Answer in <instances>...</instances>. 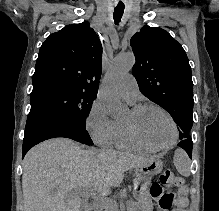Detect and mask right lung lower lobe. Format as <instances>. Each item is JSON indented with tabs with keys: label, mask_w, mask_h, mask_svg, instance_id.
<instances>
[{
	"label": "right lung lower lobe",
	"mask_w": 219,
	"mask_h": 211,
	"mask_svg": "<svg viewBox=\"0 0 219 211\" xmlns=\"http://www.w3.org/2000/svg\"><path fill=\"white\" fill-rule=\"evenodd\" d=\"M56 137L70 138L86 145H93L84 125L51 109L33 108L27 118L22 157L34 145Z\"/></svg>",
	"instance_id": "obj_1"
}]
</instances>
